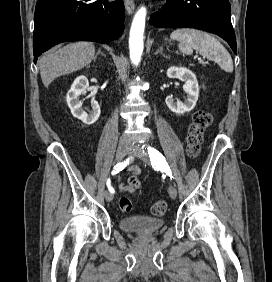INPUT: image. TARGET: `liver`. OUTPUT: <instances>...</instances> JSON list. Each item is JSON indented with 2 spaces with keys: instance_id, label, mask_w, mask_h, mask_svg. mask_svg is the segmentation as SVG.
<instances>
[{
  "instance_id": "obj_1",
  "label": "liver",
  "mask_w": 272,
  "mask_h": 282,
  "mask_svg": "<svg viewBox=\"0 0 272 282\" xmlns=\"http://www.w3.org/2000/svg\"><path fill=\"white\" fill-rule=\"evenodd\" d=\"M95 47L89 42H76L54 49L39 60L40 75L45 87L61 75L77 71L94 59Z\"/></svg>"
}]
</instances>
